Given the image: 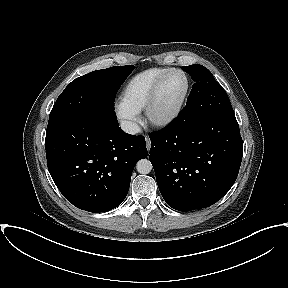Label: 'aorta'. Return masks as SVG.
Returning a JSON list of instances; mask_svg holds the SVG:
<instances>
[{"label":"aorta","mask_w":288,"mask_h":288,"mask_svg":"<svg viewBox=\"0 0 288 288\" xmlns=\"http://www.w3.org/2000/svg\"><path fill=\"white\" fill-rule=\"evenodd\" d=\"M136 168L140 174H148L152 170V164L148 159H141L138 161Z\"/></svg>","instance_id":"aorta-1"}]
</instances>
